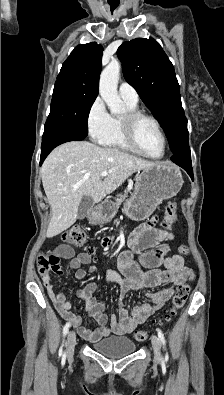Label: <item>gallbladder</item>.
Segmentation results:
<instances>
[{
  "mask_svg": "<svg viewBox=\"0 0 224 395\" xmlns=\"http://www.w3.org/2000/svg\"><path fill=\"white\" fill-rule=\"evenodd\" d=\"M93 200L90 196H84L79 204L77 218L82 220L86 217L88 210L91 208Z\"/></svg>",
  "mask_w": 224,
  "mask_h": 395,
  "instance_id": "obj_1",
  "label": "gallbladder"
}]
</instances>
